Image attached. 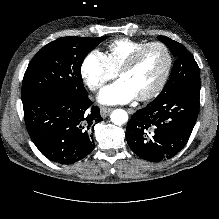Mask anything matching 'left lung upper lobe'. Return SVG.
<instances>
[{"mask_svg":"<svg viewBox=\"0 0 219 219\" xmlns=\"http://www.w3.org/2000/svg\"><path fill=\"white\" fill-rule=\"evenodd\" d=\"M157 38L166 44L177 58L169 81L158 97H164L185 85H200V70L192 54L182 44L168 37L158 36Z\"/></svg>","mask_w":219,"mask_h":219,"instance_id":"left-lung-upper-lobe-1","label":"left lung upper lobe"}]
</instances>
